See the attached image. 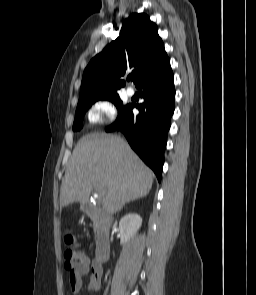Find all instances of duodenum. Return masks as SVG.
<instances>
[{
    "instance_id": "obj_1",
    "label": "duodenum",
    "mask_w": 256,
    "mask_h": 295,
    "mask_svg": "<svg viewBox=\"0 0 256 295\" xmlns=\"http://www.w3.org/2000/svg\"><path fill=\"white\" fill-rule=\"evenodd\" d=\"M84 213L94 221L96 232V260L100 263L106 260L109 253V239L107 237L108 218L102 214L95 205L84 202L82 204Z\"/></svg>"
}]
</instances>
